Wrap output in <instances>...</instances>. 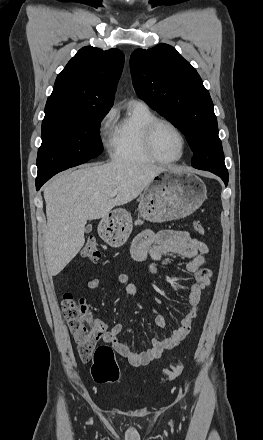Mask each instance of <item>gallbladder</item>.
Wrapping results in <instances>:
<instances>
[{
  "instance_id": "1",
  "label": "gallbladder",
  "mask_w": 263,
  "mask_h": 440,
  "mask_svg": "<svg viewBox=\"0 0 263 440\" xmlns=\"http://www.w3.org/2000/svg\"><path fill=\"white\" fill-rule=\"evenodd\" d=\"M92 231V225H87L85 228L86 233H90Z\"/></svg>"
}]
</instances>
